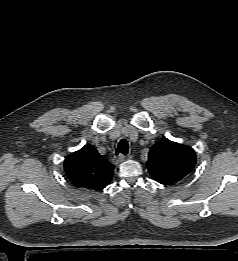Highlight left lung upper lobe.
Wrapping results in <instances>:
<instances>
[{"mask_svg":"<svg viewBox=\"0 0 238 261\" xmlns=\"http://www.w3.org/2000/svg\"><path fill=\"white\" fill-rule=\"evenodd\" d=\"M196 163L195 151L164 138L152 146L147 168L154 180L171 185L189 174Z\"/></svg>","mask_w":238,"mask_h":261,"instance_id":"left-lung-upper-lobe-1","label":"left lung upper lobe"}]
</instances>
